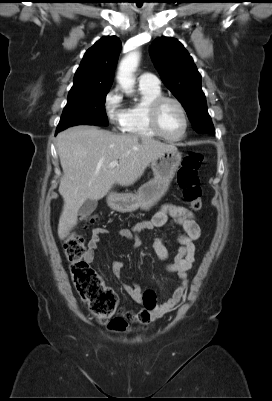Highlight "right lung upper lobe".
Segmentation results:
<instances>
[{
    "instance_id": "obj_1",
    "label": "right lung upper lobe",
    "mask_w": 272,
    "mask_h": 401,
    "mask_svg": "<svg viewBox=\"0 0 272 401\" xmlns=\"http://www.w3.org/2000/svg\"><path fill=\"white\" fill-rule=\"evenodd\" d=\"M120 49L121 41L116 36H105L89 48L75 73L68 95L110 88Z\"/></svg>"
}]
</instances>
